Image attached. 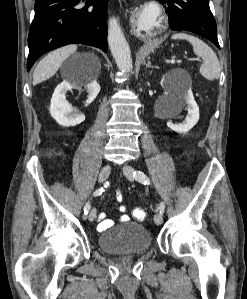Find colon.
Wrapping results in <instances>:
<instances>
[{"mask_svg": "<svg viewBox=\"0 0 247 299\" xmlns=\"http://www.w3.org/2000/svg\"><path fill=\"white\" fill-rule=\"evenodd\" d=\"M119 196H122V193L120 191H117ZM133 217L138 221H144L146 219V212L141 208H135L132 211Z\"/></svg>", "mask_w": 247, "mask_h": 299, "instance_id": "obj_1", "label": "colon"}]
</instances>
